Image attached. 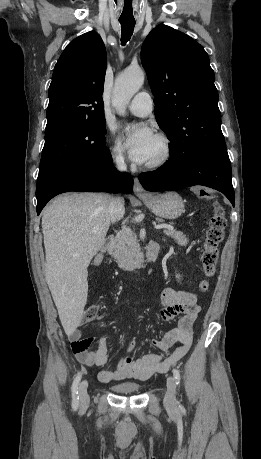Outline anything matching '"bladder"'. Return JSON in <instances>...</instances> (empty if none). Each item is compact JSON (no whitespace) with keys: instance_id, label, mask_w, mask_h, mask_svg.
Segmentation results:
<instances>
[{"instance_id":"31cf9c89","label":"bladder","mask_w":261,"mask_h":459,"mask_svg":"<svg viewBox=\"0 0 261 459\" xmlns=\"http://www.w3.org/2000/svg\"><path fill=\"white\" fill-rule=\"evenodd\" d=\"M112 389L120 394H134L140 391V385L135 382H120L114 384Z\"/></svg>"}]
</instances>
